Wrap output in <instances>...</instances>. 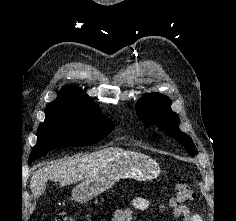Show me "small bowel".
<instances>
[{"instance_id":"1","label":"small bowel","mask_w":236,"mask_h":221,"mask_svg":"<svg viewBox=\"0 0 236 221\" xmlns=\"http://www.w3.org/2000/svg\"><path fill=\"white\" fill-rule=\"evenodd\" d=\"M152 207V201L146 198L137 197L132 200L131 206L114 211L111 221H132L135 211H147ZM175 218H182V221H202L200 215L189 207L178 206L173 211Z\"/></svg>"}]
</instances>
